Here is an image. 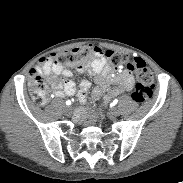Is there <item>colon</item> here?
<instances>
[{"label":"colon","instance_id":"1","mask_svg":"<svg viewBox=\"0 0 183 183\" xmlns=\"http://www.w3.org/2000/svg\"><path fill=\"white\" fill-rule=\"evenodd\" d=\"M94 51L92 47H78L72 50L63 51L59 54H54L51 58L55 64L63 68L82 66L86 64L93 56ZM106 58L108 63L115 69L135 70L137 73L138 82L135 90L132 93V99L136 103H142L148 100L153 93L155 87L154 76L145 62L140 58L129 59L125 54L117 51H107ZM43 58L37 66H35L30 73L29 90L32 99L38 104H44L47 100V87L43 76V67L52 59ZM124 94V87L120 84H113L111 88L104 94V98L100 99V104H106L109 97L122 96ZM99 110H94L81 120V125L86 129H93L95 117L99 115Z\"/></svg>","mask_w":183,"mask_h":183}]
</instances>
